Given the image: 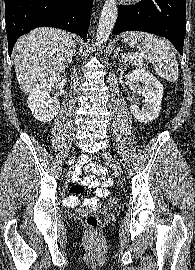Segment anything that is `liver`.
Here are the masks:
<instances>
[{
	"label": "liver",
	"mask_w": 195,
	"mask_h": 270,
	"mask_svg": "<svg viewBox=\"0 0 195 270\" xmlns=\"http://www.w3.org/2000/svg\"><path fill=\"white\" fill-rule=\"evenodd\" d=\"M69 33L42 27L18 39L14 64L20 89L32 93L43 81L58 76L68 65L75 49Z\"/></svg>",
	"instance_id": "obj_1"
}]
</instances>
